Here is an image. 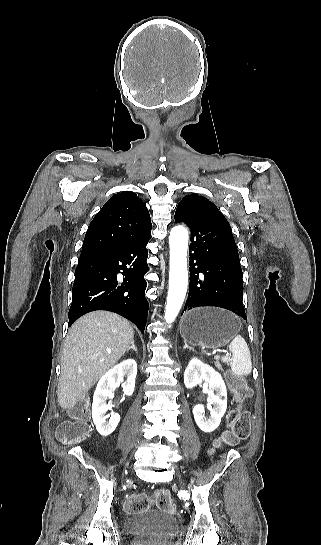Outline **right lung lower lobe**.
<instances>
[{
  "label": "right lung lower lobe",
  "instance_id": "1",
  "mask_svg": "<svg viewBox=\"0 0 321 545\" xmlns=\"http://www.w3.org/2000/svg\"><path fill=\"white\" fill-rule=\"evenodd\" d=\"M150 239L151 233L119 249L79 259L68 326L88 312L107 310L129 319L144 333L148 312L144 275L149 269L146 245ZM120 272L125 276L123 282L117 280Z\"/></svg>",
  "mask_w": 321,
  "mask_h": 545
}]
</instances>
